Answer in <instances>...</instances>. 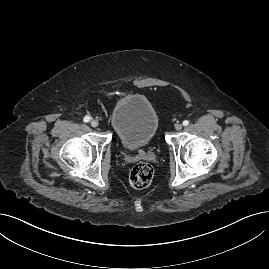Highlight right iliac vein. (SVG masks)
I'll return each instance as SVG.
<instances>
[{
  "mask_svg": "<svg viewBox=\"0 0 269 269\" xmlns=\"http://www.w3.org/2000/svg\"><path fill=\"white\" fill-rule=\"evenodd\" d=\"M90 124L92 127H97L99 125L97 120H92Z\"/></svg>",
  "mask_w": 269,
  "mask_h": 269,
  "instance_id": "right-iliac-vein-1",
  "label": "right iliac vein"
}]
</instances>
